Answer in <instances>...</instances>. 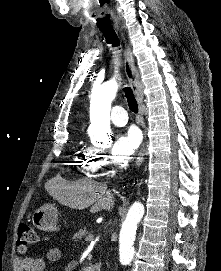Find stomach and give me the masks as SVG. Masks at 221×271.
<instances>
[{
  "label": "stomach",
  "instance_id": "0dacf381",
  "mask_svg": "<svg viewBox=\"0 0 221 271\" xmlns=\"http://www.w3.org/2000/svg\"><path fill=\"white\" fill-rule=\"evenodd\" d=\"M58 211L53 203H45L39 209H36L32 215L33 225L45 231H55L59 229L57 225Z\"/></svg>",
  "mask_w": 221,
  "mask_h": 271
}]
</instances>
